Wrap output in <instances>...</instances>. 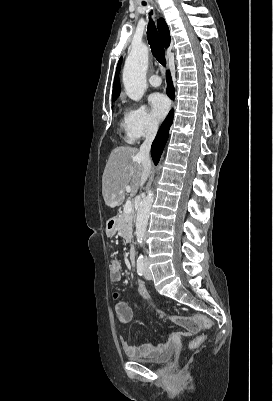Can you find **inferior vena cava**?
<instances>
[{
	"instance_id": "obj_1",
	"label": "inferior vena cava",
	"mask_w": 273,
	"mask_h": 401,
	"mask_svg": "<svg viewBox=\"0 0 273 401\" xmlns=\"http://www.w3.org/2000/svg\"><path fill=\"white\" fill-rule=\"evenodd\" d=\"M157 130H158V126H154V124H151V126H149V128H147L145 140H144L143 144H141V146H140L139 156H141V160H142V164H143V170H142L141 180H140L141 186H142V184H144V182H146V180L149 176V172H150V168H151V160H150L149 152H150L151 144L156 136Z\"/></svg>"
}]
</instances>
